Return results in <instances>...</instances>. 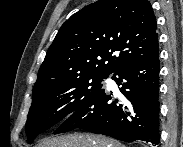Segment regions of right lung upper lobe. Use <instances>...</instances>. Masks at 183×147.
Wrapping results in <instances>:
<instances>
[{
    "mask_svg": "<svg viewBox=\"0 0 183 147\" xmlns=\"http://www.w3.org/2000/svg\"><path fill=\"white\" fill-rule=\"evenodd\" d=\"M157 25L148 0H98L60 28L33 90L83 76H109L131 62L159 55Z\"/></svg>",
    "mask_w": 183,
    "mask_h": 147,
    "instance_id": "obj_1",
    "label": "right lung upper lobe"
}]
</instances>
